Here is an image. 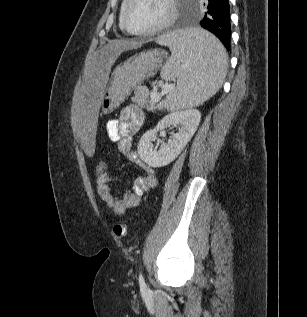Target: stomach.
<instances>
[{"mask_svg":"<svg viewBox=\"0 0 307 317\" xmlns=\"http://www.w3.org/2000/svg\"><path fill=\"white\" fill-rule=\"evenodd\" d=\"M165 58L166 53L163 50L153 49L135 54L119 64L114 69L109 86L104 93L103 112H112L137 85L155 75Z\"/></svg>","mask_w":307,"mask_h":317,"instance_id":"obj_1","label":"stomach"}]
</instances>
